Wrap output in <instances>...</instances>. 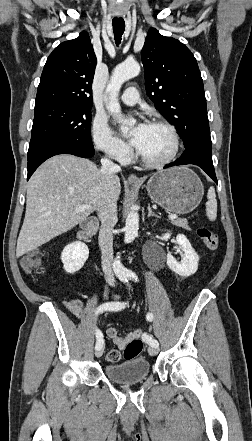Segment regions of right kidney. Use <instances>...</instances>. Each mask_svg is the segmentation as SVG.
<instances>
[{"instance_id": "right-kidney-1", "label": "right kidney", "mask_w": 252, "mask_h": 441, "mask_svg": "<svg viewBox=\"0 0 252 441\" xmlns=\"http://www.w3.org/2000/svg\"><path fill=\"white\" fill-rule=\"evenodd\" d=\"M89 256L87 245L80 241H75L64 247L61 253L63 268L67 273L73 274L79 271Z\"/></svg>"}]
</instances>
